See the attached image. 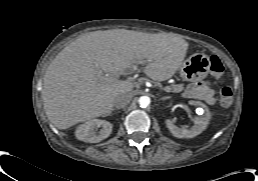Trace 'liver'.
Masks as SVG:
<instances>
[{
  "instance_id": "liver-1",
  "label": "liver",
  "mask_w": 258,
  "mask_h": 181,
  "mask_svg": "<svg viewBox=\"0 0 258 181\" xmlns=\"http://www.w3.org/2000/svg\"><path fill=\"white\" fill-rule=\"evenodd\" d=\"M188 43L169 34L125 29L95 31L66 46L48 66L42 99L49 121L60 130L109 113L116 97L133 90V78L118 77L145 65L155 81L171 78Z\"/></svg>"
}]
</instances>
